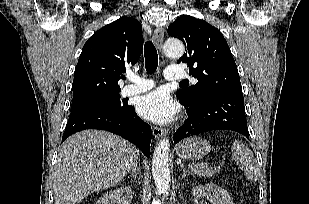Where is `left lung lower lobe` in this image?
Instances as JSON below:
<instances>
[{"instance_id":"1","label":"left lung lower lobe","mask_w":309,"mask_h":204,"mask_svg":"<svg viewBox=\"0 0 309 204\" xmlns=\"http://www.w3.org/2000/svg\"><path fill=\"white\" fill-rule=\"evenodd\" d=\"M188 118L174 134V143L202 132L211 130H232L249 138L243 94L222 93L208 96L188 104Z\"/></svg>"}]
</instances>
